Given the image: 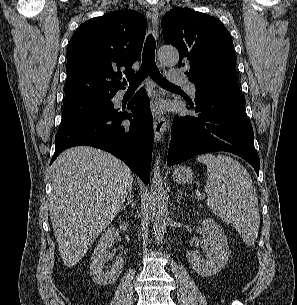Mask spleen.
I'll list each match as a JSON object with an SVG mask.
<instances>
[{"label": "spleen", "instance_id": "spleen-1", "mask_svg": "<svg viewBox=\"0 0 297 305\" xmlns=\"http://www.w3.org/2000/svg\"><path fill=\"white\" fill-rule=\"evenodd\" d=\"M197 161L207 166L208 208L234 227L246 244L254 245L260 217L256 189L247 170L224 155L203 154Z\"/></svg>", "mask_w": 297, "mask_h": 305}]
</instances>
